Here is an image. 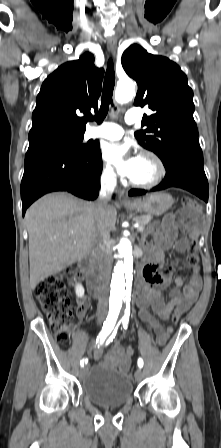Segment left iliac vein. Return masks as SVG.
I'll list each match as a JSON object with an SVG mask.
<instances>
[{"instance_id": "obj_1", "label": "left iliac vein", "mask_w": 221, "mask_h": 448, "mask_svg": "<svg viewBox=\"0 0 221 448\" xmlns=\"http://www.w3.org/2000/svg\"><path fill=\"white\" fill-rule=\"evenodd\" d=\"M143 378V371L141 368H138L135 372V380L140 381Z\"/></svg>"}]
</instances>
